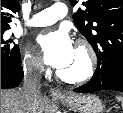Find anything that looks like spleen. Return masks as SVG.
<instances>
[{"instance_id":"obj_1","label":"spleen","mask_w":123,"mask_h":113,"mask_svg":"<svg viewBox=\"0 0 123 113\" xmlns=\"http://www.w3.org/2000/svg\"><path fill=\"white\" fill-rule=\"evenodd\" d=\"M117 99H118L119 101H121V105H122V108H123V98H122V97H117Z\"/></svg>"}]
</instances>
